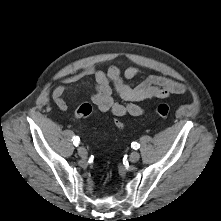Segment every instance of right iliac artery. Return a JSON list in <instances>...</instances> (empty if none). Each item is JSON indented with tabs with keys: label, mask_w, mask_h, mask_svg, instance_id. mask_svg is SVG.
I'll use <instances>...</instances> for the list:
<instances>
[{
	"label": "right iliac artery",
	"mask_w": 221,
	"mask_h": 221,
	"mask_svg": "<svg viewBox=\"0 0 221 221\" xmlns=\"http://www.w3.org/2000/svg\"><path fill=\"white\" fill-rule=\"evenodd\" d=\"M74 138V141H73V144L75 145V146H78L79 145V141H80V139H79V137H73Z\"/></svg>",
	"instance_id": "82829eb1"
}]
</instances>
